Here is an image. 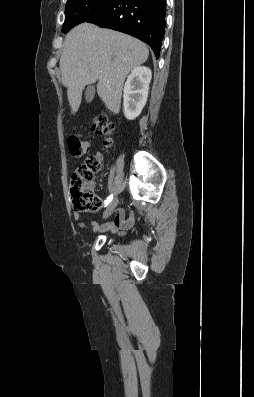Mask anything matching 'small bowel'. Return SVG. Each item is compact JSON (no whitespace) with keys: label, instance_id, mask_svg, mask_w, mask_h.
<instances>
[{"label":"small bowel","instance_id":"1","mask_svg":"<svg viewBox=\"0 0 254 397\" xmlns=\"http://www.w3.org/2000/svg\"><path fill=\"white\" fill-rule=\"evenodd\" d=\"M75 220H80V215L78 213H74ZM135 218L133 214H130L128 218H125L124 211L122 209H117L115 218L112 222L106 223L104 225L98 226L96 224H92L94 232H105L109 231L111 233H117L118 231L126 230L130 228L134 224ZM79 225L82 228H86L87 225L83 222H79Z\"/></svg>","mask_w":254,"mask_h":397}]
</instances>
